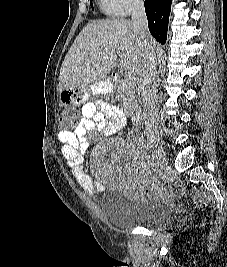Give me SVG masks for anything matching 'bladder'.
I'll list each match as a JSON object with an SVG mask.
<instances>
[{"label":"bladder","mask_w":227,"mask_h":267,"mask_svg":"<svg viewBox=\"0 0 227 267\" xmlns=\"http://www.w3.org/2000/svg\"><path fill=\"white\" fill-rule=\"evenodd\" d=\"M106 220L114 227H158L172 223L173 209L159 200H137L117 188H107L101 200Z\"/></svg>","instance_id":"obj_1"}]
</instances>
